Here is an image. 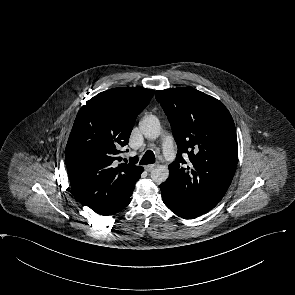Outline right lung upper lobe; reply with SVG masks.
I'll list each match as a JSON object with an SVG mask.
<instances>
[{"instance_id": "1", "label": "right lung upper lobe", "mask_w": 295, "mask_h": 295, "mask_svg": "<svg viewBox=\"0 0 295 295\" xmlns=\"http://www.w3.org/2000/svg\"><path fill=\"white\" fill-rule=\"evenodd\" d=\"M153 95L145 88H113L87 101L75 119L65 150L67 172L75 196L98 214L117 207L143 170L117 165V154Z\"/></svg>"}]
</instances>
